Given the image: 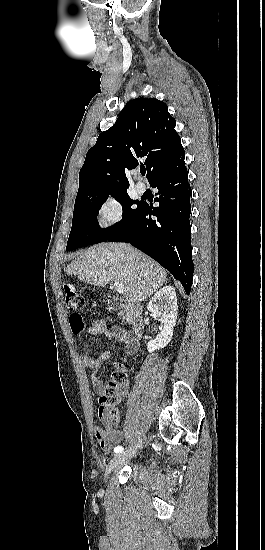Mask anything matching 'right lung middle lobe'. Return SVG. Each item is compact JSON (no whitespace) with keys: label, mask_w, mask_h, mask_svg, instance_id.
I'll list each match as a JSON object with an SVG mask.
<instances>
[{"label":"right lung middle lobe","mask_w":265,"mask_h":550,"mask_svg":"<svg viewBox=\"0 0 265 550\" xmlns=\"http://www.w3.org/2000/svg\"><path fill=\"white\" fill-rule=\"evenodd\" d=\"M109 195L115 197L116 200L122 204L124 210L123 219L120 223L110 228L102 229L99 227L97 214ZM133 204H137L136 209L131 208ZM141 205V202L132 200L126 191L92 198H76L72 229L66 250L71 251L80 247L107 241L110 236L134 219Z\"/></svg>","instance_id":"1"}]
</instances>
